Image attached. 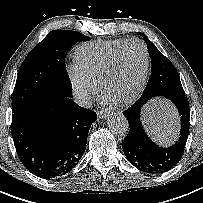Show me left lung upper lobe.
I'll return each mask as SVG.
<instances>
[{
	"label": "left lung upper lobe",
	"instance_id": "5c2ea615",
	"mask_svg": "<svg viewBox=\"0 0 203 203\" xmlns=\"http://www.w3.org/2000/svg\"><path fill=\"white\" fill-rule=\"evenodd\" d=\"M138 34L145 40L153 63L151 78L142 97L151 99L155 96H185L178 72L170 60L143 33Z\"/></svg>",
	"mask_w": 203,
	"mask_h": 203
}]
</instances>
